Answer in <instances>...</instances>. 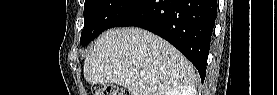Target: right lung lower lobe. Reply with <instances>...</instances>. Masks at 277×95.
<instances>
[{"mask_svg": "<svg viewBox=\"0 0 277 95\" xmlns=\"http://www.w3.org/2000/svg\"><path fill=\"white\" fill-rule=\"evenodd\" d=\"M217 0H143L116 27L136 26L159 35L188 58L204 81Z\"/></svg>", "mask_w": 277, "mask_h": 95, "instance_id": "right-lung-lower-lobe-1", "label": "right lung lower lobe"}]
</instances>
